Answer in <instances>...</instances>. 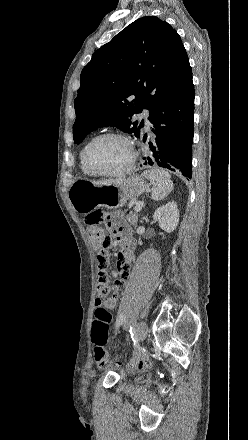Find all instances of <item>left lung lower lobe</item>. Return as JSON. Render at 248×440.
<instances>
[{
    "label": "left lung lower lobe",
    "mask_w": 248,
    "mask_h": 440,
    "mask_svg": "<svg viewBox=\"0 0 248 440\" xmlns=\"http://www.w3.org/2000/svg\"><path fill=\"white\" fill-rule=\"evenodd\" d=\"M194 85L191 80L180 89L170 92L149 117L156 136L151 154L143 165L163 167L192 177V142L194 129ZM147 136H144V141Z\"/></svg>",
    "instance_id": "1"
}]
</instances>
